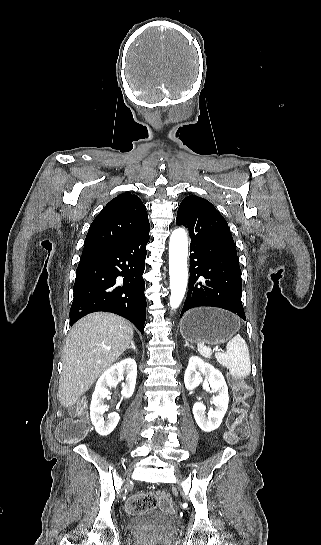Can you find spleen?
Wrapping results in <instances>:
<instances>
[{
  "label": "spleen",
  "mask_w": 321,
  "mask_h": 545,
  "mask_svg": "<svg viewBox=\"0 0 321 545\" xmlns=\"http://www.w3.org/2000/svg\"><path fill=\"white\" fill-rule=\"evenodd\" d=\"M197 349L206 359H211L212 351L210 347H205L203 343H198ZM227 353H215V359L222 367L229 369L230 375L236 379H245L251 373V363L248 347L241 335L233 337L226 345Z\"/></svg>",
  "instance_id": "1"
}]
</instances>
